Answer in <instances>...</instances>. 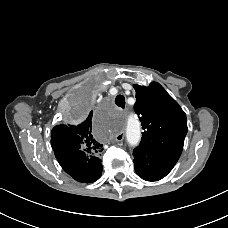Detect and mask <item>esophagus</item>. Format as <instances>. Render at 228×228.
Listing matches in <instances>:
<instances>
[{
  "mask_svg": "<svg viewBox=\"0 0 228 228\" xmlns=\"http://www.w3.org/2000/svg\"><path fill=\"white\" fill-rule=\"evenodd\" d=\"M124 138H125L124 132H121V133H119V134H117V135L115 136V139H116V141H118V142L123 141Z\"/></svg>",
  "mask_w": 228,
  "mask_h": 228,
  "instance_id": "obj_1",
  "label": "esophagus"
}]
</instances>
